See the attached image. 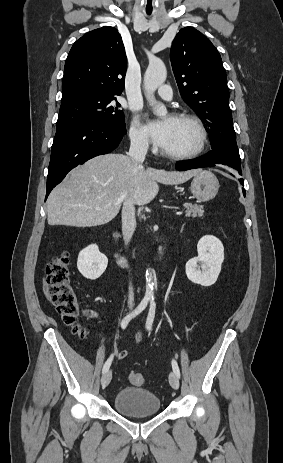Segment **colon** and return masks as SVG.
<instances>
[{
  "label": "colon",
  "instance_id": "obj_1",
  "mask_svg": "<svg viewBox=\"0 0 283 463\" xmlns=\"http://www.w3.org/2000/svg\"><path fill=\"white\" fill-rule=\"evenodd\" d=\"M47 290L52 303L57 309L62 320L72 326L73 332L84 337L87 330L80 321V307L78 296L72 286L69 270V256L63 252L54 257L46 267ZM87 317L95 316L93 311L84 312ZM129 381L135 386H142L146 379L143 374L131 372Z\"/></svg>",
  "mask_w": 283,
  "mask_h": 463
}]
</instances>
